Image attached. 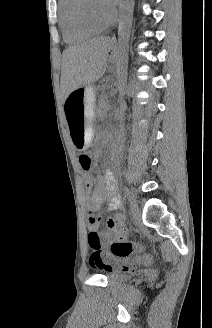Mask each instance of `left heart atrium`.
Here are the masks:
<instances>
[{"label":"left heart atrium","instance_id":"obj_1","mask_svg":"<svg viewBox=\"0 0 212 328\" xmlns=\"http://www.w3.org/2000/svg\"><path fill=\"white\" fill-rule=\"evenodd\" d=\"M118 0H103L104 5L111 10L112 12L114 11V8L117 4Z\"/></svg>","mask_w":212,"mask_h":328}]
</instances>
